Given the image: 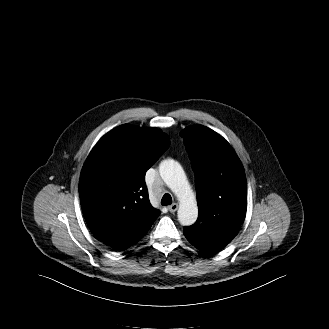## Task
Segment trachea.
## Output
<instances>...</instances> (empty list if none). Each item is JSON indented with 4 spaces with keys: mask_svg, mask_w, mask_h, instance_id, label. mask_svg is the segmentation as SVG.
I'll return each instance as SVG.
<instances>
[{
    "mask_svg": "<svg viewBox=\"0 0 329 329\" xmlns=\"http://www.w3.org/2000/svg\"><path fill=\"white\" fill-rule=\"evenodd\" d=\"M161 204L163 206L172 204V197H171V195L168 194V193L164 194V196L162 197V200H161Z\"/></svg>",
    "mask_w": 329,
    "mask_h": 329,
    "instance_id": "3493384b",
    "label": "trachea"
}]
</instances>
